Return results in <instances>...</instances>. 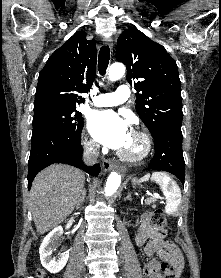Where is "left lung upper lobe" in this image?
<instances>
[{
    "label": "left lung upper lobe",
    "instance_id": "obj_1",
    "mask_svg": "<svg viewBox=\"0 0 221 278\" xmlns=\"http://www.w3.org/2000/svg\"><path fill=\"white\" fill-rule=\"evenodd\" d=\"M116 59L126 65L127 81L134 79L136 111L152 136L164 130L181 132L182 99L177 64L166 49L130 27L120 35Z\"/></svg>",
    "mask_w": 221,
    "mask_h": 278
}]
</instances>
